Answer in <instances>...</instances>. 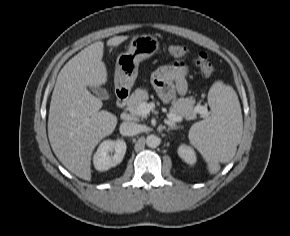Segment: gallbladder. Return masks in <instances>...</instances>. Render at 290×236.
Instances as JSON below:
<instances>
[{"instance_id":"bac80fb5","label":"gallbladder","mask_w":290,"mask_h":236,"mask_svg":"<svg viewBox=\"0 0 290 236\" xmlns=\"http://www.w3.org/2000/svg\"><path fill=\"white\" fill-rule=\"evenodd\" d=\"M90 90L95 93L99 98L101 99H107L108 98V93L105 89L101 87H89Z\"/></svg>"}]
</instances>
